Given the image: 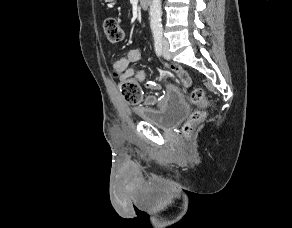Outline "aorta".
Wrapping results in <instances>:
<instances>
[{"mask_svg": "<svg viewBox=\"0 0 292 228\" xmlns=\"http://www.w3.org/2000/svg\"><path fill=\"white\" fill-rule=\"evenodd\" d=\"M150 26L153 33L162 31L161 25V0H152L149 9Z\"/></svg>", "mask_w": 292, "mask_h": 228, "instance_id": "1", "label": "aorta"}]
</instances>
